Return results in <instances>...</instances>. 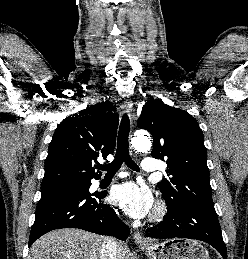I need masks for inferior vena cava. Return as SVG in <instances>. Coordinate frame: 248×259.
<instances>
[{"label":"inferior vena cava","instance_id":"inferior-vena-cava-1","mask_svg":"<svg viewBox=\"0 0 248 259\" xmlns=\"http://www.w3.org/2000/svg\"><path fill=\"white\" fill-rule=\"evenodd\" d=\"M101 259H118V245L114 238L105 237Z\"/></svg>","mask_w":248,"mask_h":259}]
</instances>
